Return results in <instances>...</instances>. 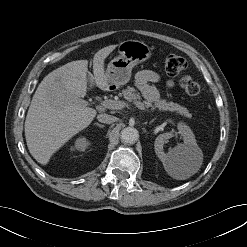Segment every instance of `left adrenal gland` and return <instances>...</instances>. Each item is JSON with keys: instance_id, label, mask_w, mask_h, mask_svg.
<instances>
[{"instance_id": "left-adrenal-gland-1", "label": "left adrenal gland", "mask_w": 247, "mask_h": 247, "mask_svg": "<svg viewBox=\"0 0 247 247\" xmlns=\"http://www.w3.org/2000/svg\"><path fill=\"white\" fill-rule=\"evenodd\" d=\"M154 120H155V119H153V120L150 122V124H151L152 122H154Z\"/></svg>"}]
</instances>
